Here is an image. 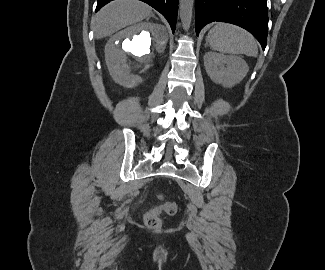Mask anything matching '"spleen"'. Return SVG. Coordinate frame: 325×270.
Segmentation results:
<instances>
[{
  "label": "spleen",
  "mask_w": 325,
  "mask_h": 270,
  "mask_svg": "<svg viewBox=\"0 0 325 270\" xmlns=\"http://www.w3.org/2000/svg\"><path fill=\"white\" fill-rule=\"evenodd\" d=\"M211 49L222 53L245 54L256 57L258 46L255 38L244 29L228 24L219 23L208 33L206 38Z\"/></svg>",
  "instance_id": "3e777b00"
}]
</instances>
